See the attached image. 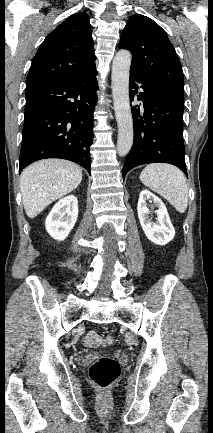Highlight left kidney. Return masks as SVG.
<instances>
[{
	"label": "left kidney",
	"instance_id": "obj_1",
	"mask_svg": "<svg viewBox=\"0 0 213 433\" xmlns=\"http://www.w3.org/2000/svg\"><path fill=\"white\" fill-rule=\"evenodd\" d=\"M147 200H152L158 208L156 210V222L150 221V211L146 206ZM137 211L141 227L151 242L156 245H166L174 238L175 229L171 223L165 204L149 190L141 191Z\"/></svg>",
	"mask_w": 213,
	"mask_h": 433
}]
</instances>
